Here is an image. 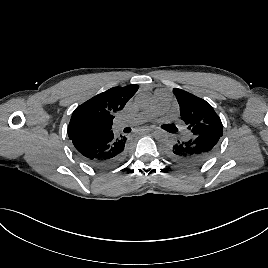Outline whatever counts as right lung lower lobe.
<instances>
[{"mask_svg":"<svg viewBox=\"0 0 268 268\" xmlns=\"http://www.w3.org/2000/svg\"><path fill=\"white\" fill-rule=\"evenodd\" d=\"M126 140L125 136L114 135L113 131L71 138L78 156L96 168H110L119 163L124 156Z\"/></svg>","mask_w":268,"mask_h":268,"instance_id":"1","label":"right lung lower lobe"}]
</instances>
